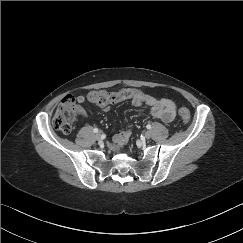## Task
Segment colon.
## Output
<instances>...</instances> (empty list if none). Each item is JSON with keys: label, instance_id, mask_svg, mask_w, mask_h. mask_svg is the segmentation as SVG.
I'll use <instances>...</instances> for the list:
<instances>
[{"label": "colon", "instance_id": "1", "mask_svg": "<svg viewBox=\"0 0 243 243\" xmlns=\"http://www.w3.org/2000/svg\"><path fill=\"white\" fill-rule=\"evenodd\" d=\"M140 92L135 89H122L115 92L104 90L93 91L88 99L92 103L108 104L126 100L130 97L139 95ZM80 104L73 96L65 97L59 104L53 117V126L59 131L68 133L73 127L74 120L79 113ZM179 115L184 124L190 122V112L187 107L179 108Z\"/></svg>", "mask_w": 243, "mask_h": 243}]
</instances>
